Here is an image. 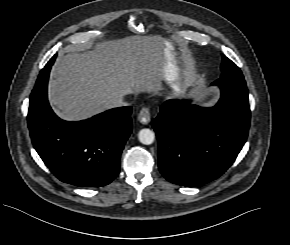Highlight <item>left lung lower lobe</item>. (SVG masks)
<instances>
[{
    "mask_svg": "<svg viewBox=\"0 0 290 245\" xmlns=\"http://www.w3.org/2000/svg\"><path fill=\"white\" fill-rule=\"evenodd\" d=\"M213 85L221 89L214 107L173 100L152 121L158 166L172 183L197 186L220 177L247 139L250 108L244 77H221Z\"/></svg>",
    "mask_w": 290,
    "mask_h": 245,
    "instance_id": "obj_1",
    "label": "left lung lower lobe"
}]
</instances>
